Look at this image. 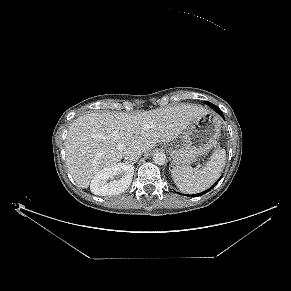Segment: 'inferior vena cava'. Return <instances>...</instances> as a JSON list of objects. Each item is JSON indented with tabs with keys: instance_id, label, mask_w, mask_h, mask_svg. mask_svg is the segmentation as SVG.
<instances>
[{
	"instance_id": "obj_1",
	"label": "inferior vena cava",
	"mask_w": 291,
	"mask_h": 291,
	"mask_svg": "<svg viewBox=\"0 0 291 291\" xmlns=\"http://www.w3.org/2000/svg\"><path fill=\"white\" fill-rule=\"evenodd\" d=\"M141 154H142L141 149H139L136 146H130L126 148L123 152V156L125 160L130 161V162L138 160Z\"/></svg>"
}]
</instances>
